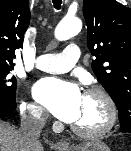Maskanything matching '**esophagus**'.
I'll return each instance as SVG.
<instances>
[{
    "instance_id": "1",
    "label": "esophagus",
    "mask_w": 131,
    "mask_h": 151,
    "mask_svg": "<svg viewBox=\"0 0 131 151\" xmlns=\"http://www.w3.org/2000/svg\"><path fill=\"white\" fill-rule=\"evenodd\" d=\"M57 146H58V148H60L62 150H67L70 147L69 143L66 141L57 142Z\"/></svg>"
}]
</instances>
